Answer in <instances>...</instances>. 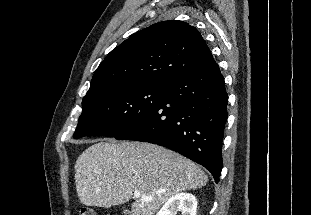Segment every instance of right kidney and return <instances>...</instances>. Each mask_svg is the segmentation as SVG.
Segmentation results:
<instances>
[{"label": "right kidney", "instance_id": "1", "mask_svg": "<svg viewBox=\"0 0 311 215\" xmlns=\"http://www.w3.org/2000/svg\"><path fill=\"white\" fill-rule=\"evenodd\" d=\"M197 199L190 193H178L170 197L156 215H176L180 211L182 215H196Z\"/></svg>", "mask_w": 311, "mask_h": 215}]
</instances>
